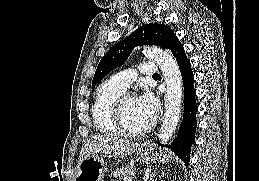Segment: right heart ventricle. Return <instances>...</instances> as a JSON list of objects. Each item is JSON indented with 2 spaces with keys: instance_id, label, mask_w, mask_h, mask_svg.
Returning a JSON list of instances; mask_svg holds the SVG:
<instances>
[{
  "instance_id": "right-heart-ventricle-1",
  "label": "right heart ventricle",
  "mask_w": 259,
  "mask_h": 181,
  "mask_svg": "<svg viewBox=\"0 0 259 181\" xmlns=\"http://www.w3.org/2000/svg\"><path fill=\"white\" fill-rule=\"evenodd\" d=\"M124 91L110 81L102 83L96 89L91 115L99 132L105 134H119L121 132L115 121L114 106Z\"/></svg>"
}]
</instances>
